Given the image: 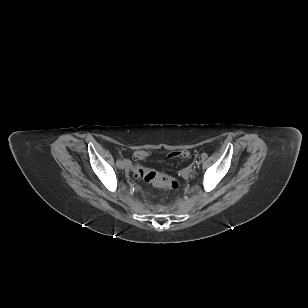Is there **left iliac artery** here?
Masks as SVG:
<instances>
[{
	"instance_id": "1",
	"label": "left iliac artery",
	"mask_w": 308,
	"mask_h": 308,
	"mask_svg": "<svg viewBox=\"0 0 308 308\" xmlns=\"http://www.w3.org/2000/svg\"><path fill=\"white\" fill-rule=\"evenodd\" d=\"M201 157H202L203 159H205V158H207V154H206V153H203V154L201 155Z\"/></svg>"
}]
</instances>
